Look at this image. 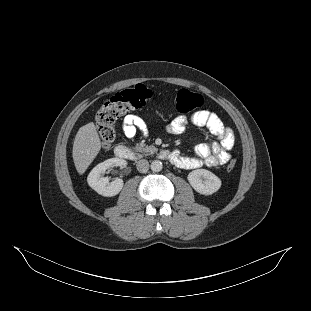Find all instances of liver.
<instances>
[{"mask_svg":"<svg viewBox=\"0 0 311 311\" xmlns=\"http://www.w3.org/2000/svg\"><path fill=\"white\" fill-rule=\"evenodd\" d=\"M100 140L93 122L78 130L73 146V159L79 173H83L100 150Z\"/></svg>","mask_w":311,"mask_h":311,"instance_id":"1","label":"liver"}]
</instances>
